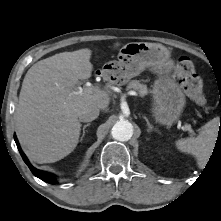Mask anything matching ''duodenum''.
Here are the masks:
<instances>
[{
    "label": "duodenum",
    "mask_w": 221,
    "mask_h": 221,
    "mask_svg": "<svg viewBox=\"0 0 221 221\" xmlns=\"http://www.w3.org/2000/svg\"><path fill=\"white\" fill-rule=\"evenodd\" d=\"M99 75H102V73L98 72Z\"/></svg>",
    "instance_id": "obj_1"
}]
</instances>
